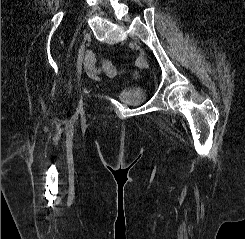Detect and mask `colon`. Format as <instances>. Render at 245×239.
I'll return each mask as SVG.
<instances>
[{
  "instance_id": "1",
  "label": "colon",
  "mask_w": 245,
  "mask_h": 239,
  "mask_svg": "<svg viewBox=\"0 0 245 239\" xmlns=\"http://www.w3.org/2000/svg\"><path fill=\"white\" fill-rule=\"evenodd\" d=\"M103 67H104V70L107 73V75H109L111 77L116 76L118 73L117 68L113 65V63H111L108 60H105L103 62Z\"/></svg>"
}]
</instances>
